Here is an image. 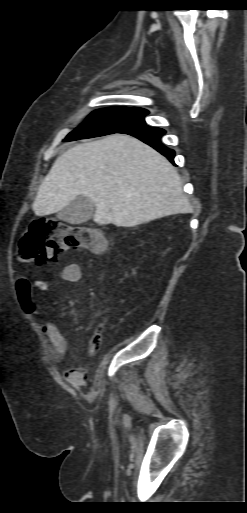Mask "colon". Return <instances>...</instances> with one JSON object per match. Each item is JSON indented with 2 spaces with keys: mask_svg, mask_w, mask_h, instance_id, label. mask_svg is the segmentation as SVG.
Returning <instances> with one entry per match:
<instances>
[{
  "mask_svg": "<svg viewBox=\"0 0 247 513\" xmlns=\"http://www.w3.org/2000/svg\"><path fill=\"white\" fill-rule=\"evenodd\" d=\"M106 247V237L94 228L69 224L55 218H41L30 223L19 241L18 254L23 261L40 265L46 261H56L69 248H85L100 253ZM102 338L101 330L98 329L91 342L93 350L99 348Z\"/></svg>",
  "mask_w": 247,
  "mask_h": 513,
  "instance_id": "colon-1",
  "label": "colon"
}]
</instances>
